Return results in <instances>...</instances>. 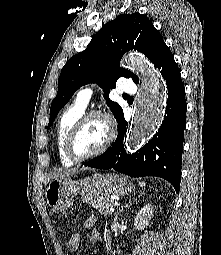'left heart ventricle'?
I'll return each mask as SVG.
<instances>
[{"label": "left heart ventricle", "mask_w": 221, "mask_h": 255, "mask_svg": "<svg viewBox=\"0 0 221 255\" xmlns=\"http://www.w3.org/2000/svg\"><path fill=\"white\" fill-rule=\"evenodd\" d=\"M107 130L104 122L100 118L90 119L80 130L76 141L75 151L78 155H87L104 143Z\"/></svg>", "instance_id": "obj_1"}]
</instances>
